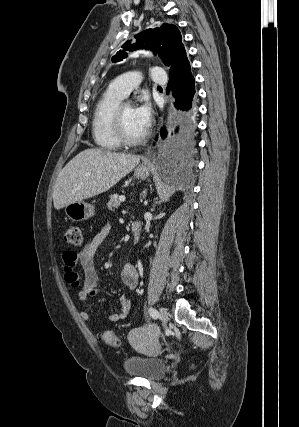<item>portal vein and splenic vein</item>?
I'll use <instances>...</instances> for the list:
<instances>
[{"mask_svg": "<svg viewBox=\"0 0 299 427\" xmlns=\"http://www.w3.org/2000/svg\"><path fill=\"white\" fill-rule=\"evenodd\" d=\"M119 200H120L121 202H124V201L126 200V198H125V196H120Z\"/></svg>", "mask_w": 299, "mask_h": 427, "instance_id": "18ae733b", "label": "portal vein and splenic vein"}]
</instances>
